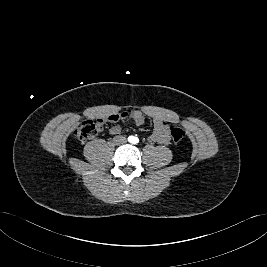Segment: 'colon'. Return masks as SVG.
I'll return each mask as SVG.
<instances>
[{"mask_svg": "<svg viewBox=\"0 0 267 267\" xmlns=\"http://www.w3.org/2000/svg\"><path fill=\"white\" fill-rule=\"evenodd\" d=\"M128 115L126 112L114 113L113 115L105 118L100 119H87L83 121L79 127L75 130L74 135L76 139L79 141H87L95 136L100 132L102 129L103 123L105 121H125L127 120ZM169 133L172 139L179 143L185 137V131L176 124H172L169 127Z\"/></svg>", "mask_w": 267, "mask_h": 267, "instance_id": "5ec220e1", "label": "colon"}]
</instances>
